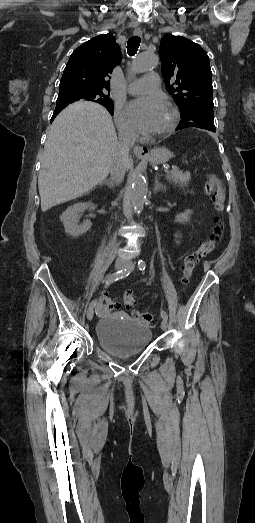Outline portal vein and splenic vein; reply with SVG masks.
I'll return each instance as SVG.
<instances>
[{
	"label": "portal vein and splenic vein",
	"mask_w": 255,
	"mask_h": 523,
	"mask_svg": "<svg viewBox=\"0 0 255 523\" xmlns=\"http://www.w3.org/2000/svg\"><path fill=\"white\" fill-rule=\"evenodd\" d=\"M163 172H168L169 174H172L174 172L175 174H178L180 172V169L178 167H175L174 169L172 167H169L168 169L158 170V175H163Z\"/></svg>",
	"instance_id": "obj_1"
}]
</instances>
